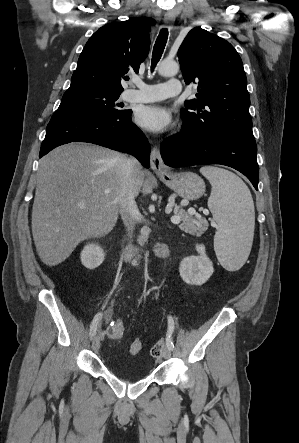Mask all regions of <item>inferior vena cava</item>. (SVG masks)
Returning <instances> with one entry per match:
<instances>
[{
	"label": "inferior vena cava",
	"instance_id": "602c4592",
	"mask_svg": "<svg viewBox=\"0 0 299 443\" xmlns=\"http://www.w3.org/2000/svg\"><path fill=\"white\" fill-rule=\"evenodd\" d=\"M140 167L139 162L135 158H125L123 160L120 177V192L118 195V204L120 207V215L128 236H132L137 216L139 214L138 207L135 202L136 191V171Z\"/></svg>",
	"mask_w": 299,
	"mask_h": 443
}]
</instances>
